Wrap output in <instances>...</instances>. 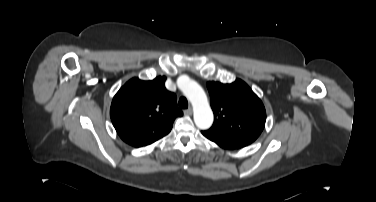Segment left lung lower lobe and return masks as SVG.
I'll list each match as a JSON object with an SVG mask.
<instances>
[{
  "mask_svg": "<svg viewBox=\"0 0 376 202\" xmlns=\"http://www.w3.org/2000/svg\"><path fill=\"white\" fill-rule=\"evenodd\" d=\"M202 134L209 140L215 142L217 145L225 149H239L249 145L244 141L214 132L210 129L202 131Z\"/></svg>",
  "mask_w": 376,
  "mask_h": 202,
  "instance_id": "left-lung-lower-lobe-1",
  "label": "left lung lower lobe"
}]
</instances>
